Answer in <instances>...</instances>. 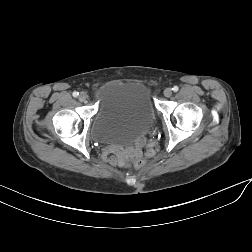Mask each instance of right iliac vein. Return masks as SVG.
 Wrapping results in <instances>:
<instances>
[{
	"instance_id": "obj_1",
	"label": "right iliac vein",
	"mask_w": 252,
	"mask_h": 252,
	"mask_svg": "<svg viewBox=\"0 0 252 252\" xmlns=\"http://www.w3.org/2000/svg\"><path fill=\"white\" fill-rule=\"evenodd\" d=\"M79 100H80L81 102H87V100H88V95H87V93L81 92V93L79 94Z\"/></svg>"
}]
</instances>
